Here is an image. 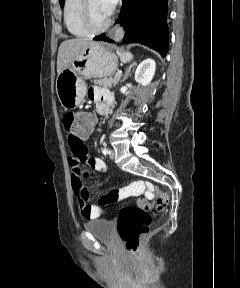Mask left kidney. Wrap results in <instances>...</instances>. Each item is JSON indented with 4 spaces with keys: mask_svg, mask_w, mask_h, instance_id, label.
I'll return each instance as SVG.
<instances>
[{
    "mask_svg": "<svg viewBox=\"0 0 240 288\" xmlns=\"http://www.w3.org/2000/svg\"><path fill=\"white\" fill-rule=\"evenodd\" d=\"M155 69V61L151 58L145 59L138 65L135 71V80L141 85L147 86L154 77Z\"/></svg>",
    "mask_w": 240,
    "mask_h": 288,
    "instance_id": "1",
    "label": "left kidney"
}]
</instances>
